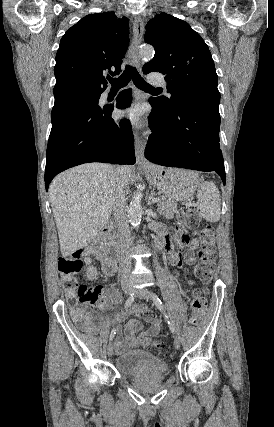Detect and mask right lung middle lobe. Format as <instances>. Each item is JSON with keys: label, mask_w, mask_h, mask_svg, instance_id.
Wrapping results in <instances>:
<instances>
[{"label": "right lung middle lobe", "mask_w": 274, "mask_h": 427, "mask_svg": "<svg viewBox=\"0 0 274 427\" xmlns=\"http://www.w3.org/2000/svg\"><path fill=\"white\" fill-rule=\"evenodd\" d=\"M99 98H100V94L73 96V97L65 100L61 104L54 105L53 110H52V114L59 112V111H62L64 109L76 106L78 104L86 103V102L97 103Z\"/></svg>", "instance_id": "dd1d6c3e"}]
</instances>
